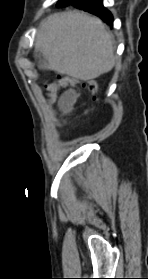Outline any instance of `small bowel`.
Returning <instances> with one entry per match:
<instances>
[{
  "label": "small bowel",
  "mask_w": 148,
  "mask_h": 279,
  "mask_svg": "<svg viewBox=\"0 0 148 279\" xmlns=\"http://www.w3.org/2000/svg\"><path fill=\"white\" fill-rule=\"evenodd\" d=\"M79 98L78 91H69L64 93L57 101L58 107L63 114L70 113Z\"/></svg>",
  "instance_id": "1"
}]
</instances>
